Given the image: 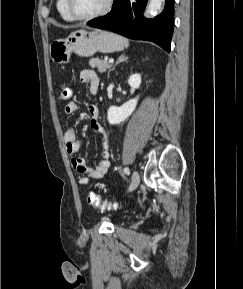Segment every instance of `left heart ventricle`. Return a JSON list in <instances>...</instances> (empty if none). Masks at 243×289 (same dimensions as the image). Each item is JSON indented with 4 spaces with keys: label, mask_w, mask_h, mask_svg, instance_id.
Here are the masks:
<instances>
[{
    "label": "left heart ventricle",
    "mask_w": 243,
    "mask_h": 289,
    "mask_svg": "<svg viewBox=\"0 0 243 289\" xmlns=\"http://www.w3.org/2000/svg\"><path fill=\"white\" fill-rule=\"evenodd\" d=\"M106 0H72L74 12L79 16L93 15L105 6Z\"/></svg>",
    "instance_id": "obj_1"
}]
</instances>
